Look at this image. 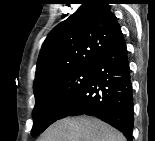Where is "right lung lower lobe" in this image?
<instances>
[{
	"label": "right lung lower lobe",
	"instance_id": "98d812e1",
	"mask_svg": "<svg viewBox=\"0 0 155 141\" xmlns=\"http://www.w3.org/2000/svg\"><path fill=\"white\" fill-rule=\"evenodd\" d=\"M132 92L127 49L122 34L101 56L89 80L59 119L82 114L96 116L132 140Z\"/></svg>",
	"mask_w": 155,
	"mask_h": 141
}]
</instances>
